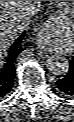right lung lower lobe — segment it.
<instances>
[{
    "instance_id": "1",
    "label": "right lung lower lobe",
    "mask_w": 74,
    "mask_h": 122,
    "mask_svg": "<svg viewBox=\"0 0 74 122\" xmlns=\"http://www.w3.org/2000/svg\"><path fill=\"white\" fill-rule=\"evenodd\" d=\"M23 37L24 33L10 47L5 63L0 65V98L8 94L14 85L13 81L16 74L15 61L24 50L22 47Z\"/></svg>"
}]
</instances>
